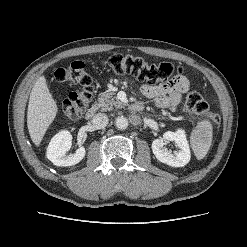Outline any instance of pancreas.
<instances>
[{"mask_svg": "<svg viewBox=\"0 0 247 247\" xmlns=\"http://www.w3.org/2000/svg\"><path fill=\"white\" fill-rule=\"evenodd\" d=\"M98 106L102 111H110L113 108H123L125 104L117 99L113 93H102L98 97Z\"/></svg>", "mask_w": 247, "mask_h": 247, "instance_id": "1", "label": "pancreas"}]
</instances>
